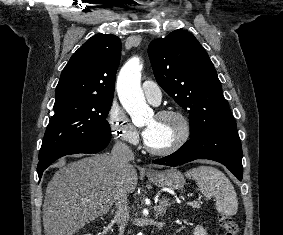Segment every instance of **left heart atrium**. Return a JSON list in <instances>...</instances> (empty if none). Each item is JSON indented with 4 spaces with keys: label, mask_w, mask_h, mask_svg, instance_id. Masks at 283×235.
<instances>
[{
    "label": "left heart atrium",
    "mask_w": 283,
    "mask_h": 235,
    "mask_svg": "<svg viewBox=\"0 0 283 235\" xmlns=\"http://www.w3.org/2000/svg\"><path fill=\"white\" fill-rule=\"evenodd\" d=\"M152 131H153V128H152L151 126L146 127V128L144 129L143 135H144V137L146 138V140L151 136Z\"/></svg>",
    "instance_id": "obj_1"
}]
</instances>
